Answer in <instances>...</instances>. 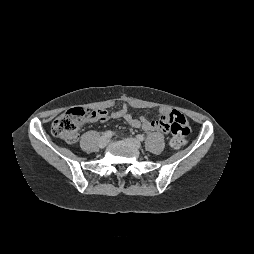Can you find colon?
I'll return each instance as SVG.
<instances>
[{
	"mask_svg": "<svg viewBox=\"0 0 254 254\" xmlns=\"http://www.w3.org/2000/svg\"><path fill=\"white\" fill-rule=\"evenodd\" d=\"M99 111L87 108H73L58 116L52 123L51 131L56 137L73 143L77 140L79 128L85 121L95 120ZM172 138L170 144L173 148H180L186 143L190 127L185 117L180 113L174 115L170 122Z\"/></svg>",
	"mask_w": 254,
	"mask_h": 254,
	"instance_id": "colon-1",
	"label": "colon"
}]
</instances>
